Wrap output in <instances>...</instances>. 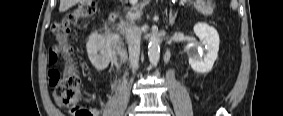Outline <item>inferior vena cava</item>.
I'll return each mask as SVG.
<instances>
[{
    "mask_svg": "<svg viewBox=\"0 0 283 116\" xmlns=\"http://www.w3.org/2000/svg\"><path fill=\"white\" fill-rule=\"evenodd\" d=\"M126 39L128 43L130 66L132 71L135 72L139 64L141 33L139 28L132 23L127 24Z\"/></svg>",
    "mask_w": 283,
    "mask_h": 116,
    "instance_id": "obj_1",
    "label": "inferior vena cava"
}]
</instances>
